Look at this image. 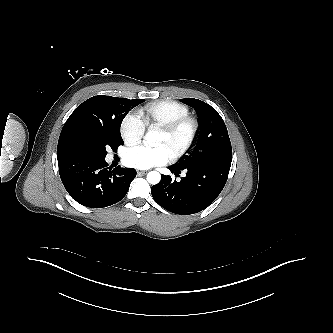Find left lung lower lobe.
I'll list each match as a JSON object with an SVG mask.
<instances>
[{"label": "left lung lower lobe", "mask_w": 333, "mask_h": 333, "mask_svg": "<svg viewBox=\"0 0 333 333\" xmlns=\"http://www.w3.org/2000/svg\"><path fill=\"white\" fill-rule=\"evenodd\" d=\"M231 164L202 162L188 167H168L178 176L182 170L186 176L180 181L161 176V181L151 188L154 200L164 209L181 215L198 213L207 208L224 188Z\"/></svg>", "instance_id": "1"}]
</instances>
